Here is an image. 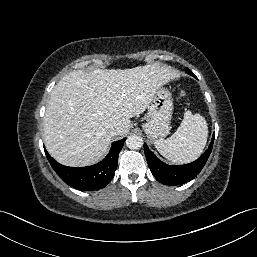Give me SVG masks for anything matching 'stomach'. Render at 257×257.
Here are the masks:
<instances>
[{"label": "stomach", "mask_w": 257, "mask_h": 257, "mask_svg": "<svg viewBox=\"0 0 257 257\" xmlns=\"http://www.w3.org/2000/svg\"><path fill=\"white\" fill-rule=\"evenodd\" d=\"M172 112L171 93L160 87L151 99L146 117L147 123L143 127L149 139L153 141L162 140L169 134Z\"/></svg>", "instance_id": "1"}]
</instances>
